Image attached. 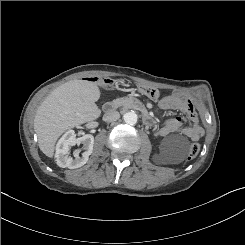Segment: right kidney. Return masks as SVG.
Here are the masks:
<instances>
[{
	"label": "right kidney",
	"instance_id": "1",
	"mask_svg": "<svg viewBox=\"0 0 245 245\" xmlns=\"http://www.w3.org/2000/svg\"><path fill=\"white\" fill-rule=\"evenodd\" d=\"M83 144V154L80 157L78 152H74L75 159L68 156L70 148L76 144ZM94 137L90 134L76 138L74 130H68L58 141L56 146L55 161L59 167L76 169L87 163L93 151Z\"/></svg>",
	"mask_w": 245,
	"mask_h": 245
}]
</instances>
